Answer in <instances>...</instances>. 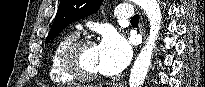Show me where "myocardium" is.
<instances>
[{"mask_svg": "<svg viewBox=\"0 0 205 87\" xmlns=\"http://www.w3.org/2000/svg\"><path fill=\"white\" fill-rule=\"evenodd\" d=\"M90 46H95V42L87 38L76 39L63 49L60 56V64L64 72L80 82H92L100 77L99 73H83L78 65L79 53Z\"/></svg>", "mask_w": 205, "mask_h": 87, "instance_id": "myocardium-1", "label": "myocardium"}]
</instances>
